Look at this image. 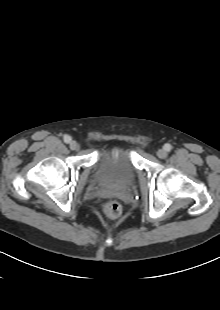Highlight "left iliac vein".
<instances>
[{"label":"left iliac vein","instance_id":"4c4485c4","mask_svg":"<svg viewBox=\"0 0 220 310\" xmlns=\"http://www.w3.org/2000/svg\"><path fill=\"white\" fill-rule=\"evenodd\" d=\"M156 155L161 158V159H164L167 157V152L164 150V149H159L157 152H156Z\"/></svg>","mask_w":220,"mask_h":310}]
</instances>
